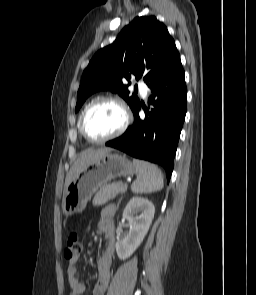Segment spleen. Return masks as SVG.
Masks as SVG:
<instances>
[{
    "mask_svg": "<svg viewBox=\"0 0 256 295\" xmlns=\"http://www.w3.org/2000/svg\"><path fill=\"white\" fill-rule=\"evenodd\" d=\"M133 164L138 174L131 185L133 193H152L163 188V174L156 165L136 159L133 160Z\"/></svg>",
    "mask_w": 256,
    "mask_h": 295,
    "instance_id": "obj_1",
    "label": "spleen"
}]
</instances>
